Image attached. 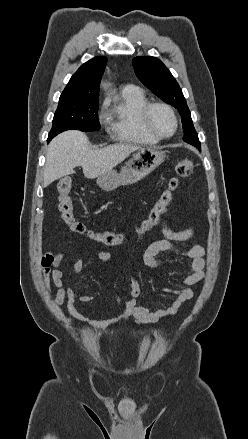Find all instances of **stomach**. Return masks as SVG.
Segmentation results:
<instances>
[{
  "instance_id": "0dacf381",
  "label": "stomach",
  "mask_w": 248,
  "mask_h": 439,
  "mask_svg": "<svg viewBox=\"0 0 248 439\" xmlns=\"http://www.w3.org/2000/svg\"><path fill=\"white\" fill-rule=\"evenodd\" d=\"M165 157V151L154 147H141L122 167L120 173L110 170L97 177V185L104 191H112L121 185L133 184L163 163Z\"/></svg>"
}]
</instances>
